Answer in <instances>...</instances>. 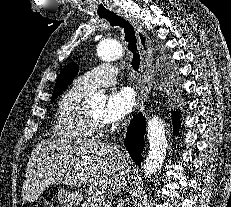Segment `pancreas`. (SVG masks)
I'll use <instances>...</instances> for the list:
<instances>
[{"instance_id": "1", "label": "pancreas", "mask_w": 231, "mask_h": 207, "mask_svg": "<svg viewBox=\"0 0 231 207\" xmlns=\"http://www.w3.org/2000/svg\"><path fill=\"white\" fill-rule=\"evenodd\" d=\"M104 202H99L96 200L95 196L89 197L85 202L81 204V207H103Z\"/></svg>"}]
</instances>
